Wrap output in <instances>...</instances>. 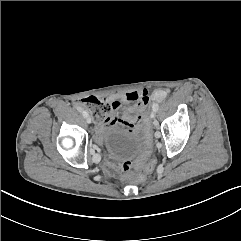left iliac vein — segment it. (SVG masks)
<instances>
[{
    "label": "left iliac vein",
    "instance_id": "obj_1",
    "mask_svg": "<svg viewBox=\"0 0 241 241\" xmlns=\"http://www.w3.org/2000/svg\"><path fill=\"white\" fill-rule=\"evenodd\" d=\"M150 117H151L152 119L155 118V111H154V110L151 112Z\"/></svg>",
    "mask_w": 241,
    "mask_h": 241
}]
</instances>
